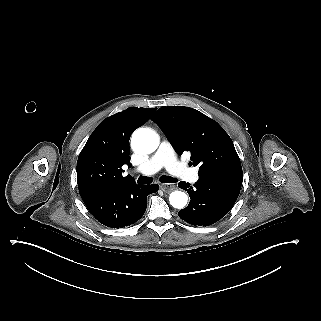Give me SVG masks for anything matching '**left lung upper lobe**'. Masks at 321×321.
I'll return each instance as SVG.
<instances>
[{
  "label": "left lung upper lobe",
  "instance_id": "1",
  "mask_svg": "<svg viewBox=\"0 0 321 321\" xmlns=\"http://www.w3.org/2000/svg\"><path fill=\"white\" fill-rule=\"evenodd\" d=\"M179 154L191 153L198 175L242 169L234 144L225 130L203 113L183 106L161 107L151 118ZM192 164V163H191Z\"/></svg>",
  "mask_w": 321,
  "mask_h": 321
}]
</instances>
